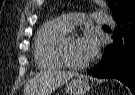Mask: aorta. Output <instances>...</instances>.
Masks as SVG:
<instances>
[{"label":"aorta","mask_w":135,"mask_h":95,"mask_svg":"<svg viewBox=\"0 0 135 95\" xmlns=\"http://www.w3.org/2000/svg\"><path fill=\"white\" fill-rule=\"evenodd\" d=\"M99 5H101L102 7H106L107 8V3H106V1H104V0H97L96 1Z\"/></svg>","instance_id":"obj_1"}]
</instances>
